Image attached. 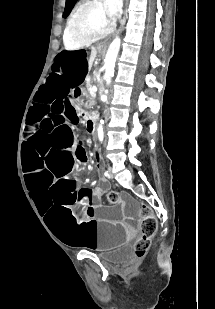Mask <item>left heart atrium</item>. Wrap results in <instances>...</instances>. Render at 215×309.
I'll list each match as a JSON object with an SVG mask.
<instances>
[{
  "label": "left heart atrium",
  "instance_id": "1",
  "mask_svg": "<svg viewBox=\"0 0 215 309\" xmlns=\"http://www.w3.org/2000/svg\"><path fill=\"white\" fill-rule=\"evenodd\" d=\"M106 9L104 11L107 20H115L118 12H122V5L120 0H105Z\"/></svg>",
  "mask_w": 215,
  "mask_h": 309
}]
</instances>
